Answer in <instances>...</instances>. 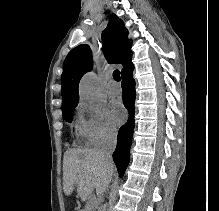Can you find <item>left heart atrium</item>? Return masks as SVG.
<instances>
[{"instance_id": "left-heart-atrium-1", "label": "left heart atrium", "mask_w": 219, "mask_h": 211, "mask_svg": "<svg viewBox=\"0 0 219 211\" xmlns=\"http://www.w3.org/2000/svg\"><path fill=\"white\" fill-rule=\"evenodd\" d=\"M111 115L113 120L117 124H120L126 119L127 113L125 108L119 102H114L111 105Z\"/></svg>"}]
</instances>
